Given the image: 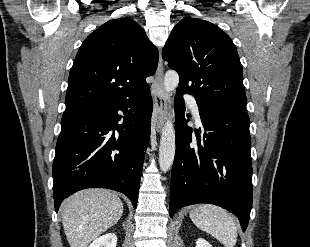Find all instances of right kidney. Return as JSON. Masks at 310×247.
<instances>
[{"label":"right kidney","instance_id":"obj_1","mask_svg":"<svg viewBox=\"0 0 310 247\" xmlns=\"http://www.w3.org/2000/svg\"><path fill=\"white\" fill-rule=\"evenodd\" d=\"M117 236L114 233H107L96 238L88 247H116Z\"/></svg>","mask_w":310,"mask_h":247}]
</instances>
